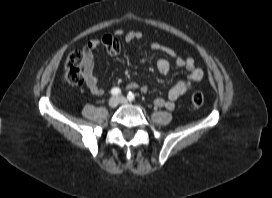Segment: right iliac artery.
<instances>
[{
    "mask_svg": "<svg viewBox=\"0 0 272 198\" xmlns=\"http://www.w3.org/2000/svg\"><path fill=\"white\" fill-rule=\"evenodd\" d=\"M120 93H121V90L117 87L112 88V90H111L112 95H119Z\"/></svg>",
    "mask_w": 272,
    "mask_h": 198,
    "instance_id": "right-iliac-artery-1",
    "label": "right iliac artery"
}]
</instances>
